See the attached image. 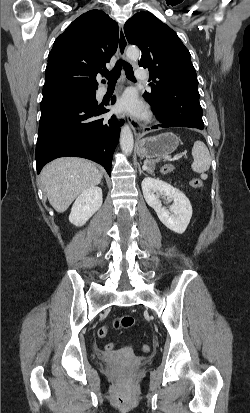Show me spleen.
I'll use <instances>...</instances> for the list:
<instances>
[{
    "label": "spleen",
    "instance_id": "3e777b00",
    "mask_svg": "<svg viewBox=\"0 0 250 413\" xmlns=\"http://www.w3.org/2000/svg\"><path fill=\"white\" fill-rule=\"evenodd\" d=\"M193 163L191 168L196 173H204L209 170L211 157L204 142L197 140L192 148Z\"/></svg>",
    "mask_w": 250,
    "mask_h": 413
}]
</instances>
